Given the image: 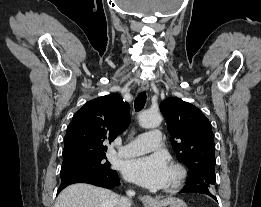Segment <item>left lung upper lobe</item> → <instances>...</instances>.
Segmentation results:
<instances>
[{
    "label": "left lung upper lobe",
    "instance_id": "5c2ea615",
    "mask_svg": "<svg viewBox=\"0 0 261 207\" xmlns=\"http://www.w3.org/2000/svg\"><path fill=\"white\" fill-rule=\"evenodd\" d=\"M177 159L189 169L187 185L215 184V144L210 121L191 103L168 98L160 104Z\"/></svg>",
    "mask_w": 261,
    "mask_h": 207
}]
</instances>
